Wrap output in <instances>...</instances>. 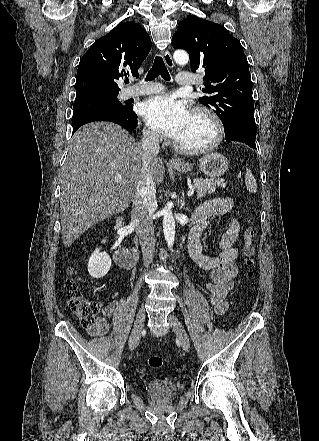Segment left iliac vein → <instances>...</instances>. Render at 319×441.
I'll return each mask as SVG.
<instances>
[{"instance_id": "left-iliac-vein-1", "label": "left iliac vein", "mask_w": 319, "mask_h": 441, "mask_svg": "<svg viewBox=\"0 0 319 441\" xmlns=\"http://www.w3.org/2000/svg\"><path fill=\"white\" fill-rule=\"evenodd\" d=\"M168 322L170 323L172 329L174 330L175 334L177 335L182 348L185 351H189L190 348V340L189 337L187 335L186 330L184 329V326L182 325V323L179 321V319L174 316V315H169L168 316Z\"/></svg>"}]
</instances>
